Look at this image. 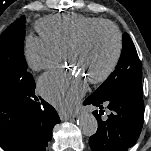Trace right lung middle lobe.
Masks as SVG:
<instances>
[{
    "mask_svg": "<svg viewBox=\"0 0 151 151\" xmlns=\"http://www.w3.org/2000/svg\"><path fill=\"white\" fill-rule=\"evenodd\" d=\"M25 16L13 22L0 36V77L8 80L0 99L9 104L23 106L28 83L27 63L24 57Z\"/></svg>",
    "mask_w": 151,
    "mask_h": 151,
    "instance_id": "obj_1",
    "label": "right lung middle lobe"
}]
</instances>
